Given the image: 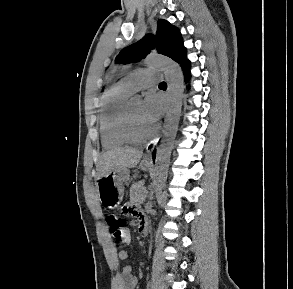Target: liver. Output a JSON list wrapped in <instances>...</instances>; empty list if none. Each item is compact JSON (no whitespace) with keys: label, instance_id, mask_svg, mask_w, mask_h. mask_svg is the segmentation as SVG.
<instances>
[{"label":"liver","instance_id":"6515ba94","mask_svg":"<svg viewBox=\"0 0 293 289\" xmlns=\"http://www.w3.org/2000/svg\"><path fill=\"white\" fill-rule=\"evenodd\" d=\"M143 152L135 148L121 147L105 152L100 159L99 177H105L116 168H134Z\"/></svg>","mask_w":293,"mask_h":289}]
</instances>
